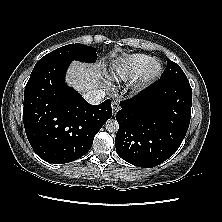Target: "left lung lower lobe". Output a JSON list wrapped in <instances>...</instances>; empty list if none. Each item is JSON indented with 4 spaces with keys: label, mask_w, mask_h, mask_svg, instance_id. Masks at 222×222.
<instances>
[{
    "label": "left lung lower lobe",
    "mask_w": 222,
    "mask_h": 222,
    "mask_svg": "<svg viewBox=\"0 0 222 222\" xmlns=\"http://www.w3.org/2000/svg\"><path fill=\"white\" fill-rule=\"evenodd\" d=\"M120 105L116 151L135 166L151 168L181 145L190 124L192 89L189 81L159 80Z\"/></svg>",
    "instance_id": "0a47b994"
}]
</instances>
